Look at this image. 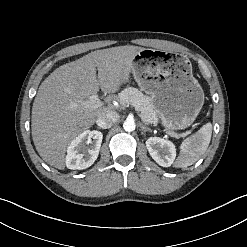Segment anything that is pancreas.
<instances>
[{
  "instance_id": "pancreas-1",
  "label": "pancreas",
  "mask_w": 247,
  "mask_h": 247,
  "mask_svg": "<svg viewBox=\"0 0 247 247\" xmlns=\"http://www.w3.org/2000/svg\"><path fill=\"white\" fill-rule=\"evenodd\" d=\"M119 102L122 106L136 104L137 110L143 119L151 124H157L158 116L154 110L151 99L136 88L128 87L119 93Z\"/></svg>"
}]
</instances>
